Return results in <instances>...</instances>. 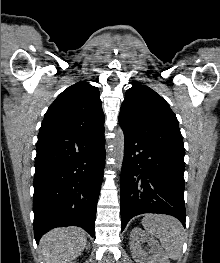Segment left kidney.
<instances>
[{"mask_svg": "<svg viewBox=\"0 0 220 263\" xmlns=\"http://www.w3.org/2000/svg\"><path fill=\"white\" fill-rule=\"evenodd\" d=\"M147 242L151 247L149 256L141 248V243ZM130 249L137 263H170L157 240L140 228H133L130 235Z\"/></svg>", "mask_w": 220, "mask_h": 263, "instance_id": "left-kidney-1", "label": "left kidney"}]
</instances>
